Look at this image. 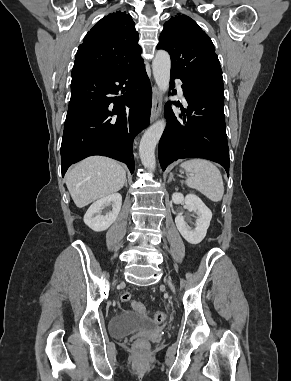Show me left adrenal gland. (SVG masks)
<instances>
[{
	"label": "left adrenal gland",
	"mask_w": 291,
	"mask_h": 381,
	"mask_svg": "<svg viewBox=\"0 0 291 381\" xmlns=\"http://www.w3.org/2000/svg\"><path fill=\"white\" fill-rule=\"evenodd\" d=\"M172 179H173V173H170V176H169V179H168V183H169L170 181H172Z\"/></svg>",
	"instance_id": "a2214340"
}]
</instances>
